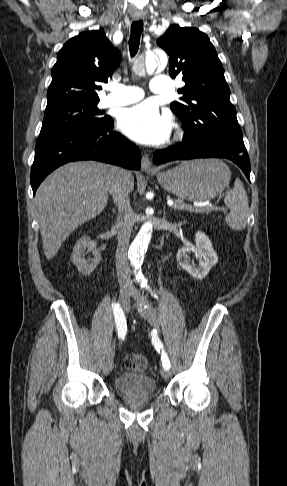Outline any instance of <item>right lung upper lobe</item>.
Wrapping results in <instances>:
<instances>
[{"label": "right lung upper lobe", "mask_w": 287, "mask_h": 486, "mask_svg": "<svg viewBox=\"0 0 287 486\" xmlns=\"http://www.w3.org/2000/svg\"><path fill=\"white\" fill-rule=\"evenodd\" d=\"M120 59V51L113 47L102 29L71 38L59 51L53 66L47 107L99 99L98 83L108 81Z\"/></svg>", "instance_id": "1"}]
</instances>
